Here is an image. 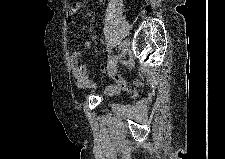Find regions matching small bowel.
<instances>
[{
    "label": "small bowel",
    "mask_w": 225,
    "mask_h": 159,
    "mask_svg": "<svg viewBox=\"0 0 225 159\" xmlns=\"http://www.w3.org/2000/svg\"><path fill=\"white\" fill-rule=\"evenodd\" d=\"M84 0H80L75 2L68 11V23H73V17L78 14L84 7ZM91 47V42L86 41L83 43V48L88 49ZM83 55V51L81 49H76L72 52V74L75 80V83L80 88H93L94 85L88 77L86 66L79 63L78 59ZM101 72H106L109 69L111 70V78L114 81V84L106 87L105 91L107 94L113 95L118 93L120 90H128L135 87L136 82L127 81L121 76L117 75L113 72V68L108 65L101 64L99 66Z\"/></svg>",
    "instance_id": "c3829d8e"
}]
</instances>
